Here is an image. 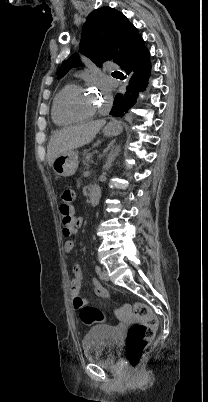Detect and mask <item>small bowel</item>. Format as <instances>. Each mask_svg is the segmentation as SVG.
<instances>
[{
  "label": "small bowel",
  "mask_w": 208,
  "mask_h": 402,
  "mask_svg": "<svg viewBox=\"0 0 208 402\" xmlns=\"http://www.w3.org/2000/svg\"><path fill=\"white\" fill-rule=\"evenodd\" d=\"M74 227L76 231H79L80 228L82 227V222L81 221H75L74 222ZM74 249V243L73 242H68L66 244V247L63 248V253L64 254H69L70 251ZM81 284H82V273L81 270L78 266L73 265L71 269V294L74 298V300L77 301L78 306H82L87 304V300L82 299L79 297V291L81 289ZM93 291L97 298L99 300H105L108 296V290L100 283L99 280L94 279L91 282ZM128 314V311L126 308L119 310L117 312V316L119 318H123V321H126V317Z\"/></svg>",
  "instance_id": "1"
}]
</instances>
